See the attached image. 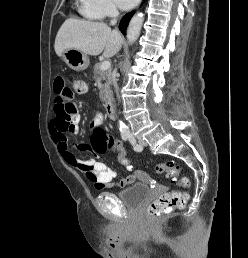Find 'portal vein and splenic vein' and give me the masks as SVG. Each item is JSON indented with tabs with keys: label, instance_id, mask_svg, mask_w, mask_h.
Masks as SVG:
<instances>
[{
	"label": "portal vein and splenic vein",
	"instance_id": "portal-vein-and-splenic-vein-1",
	"mask_svg": "<svg viewBox=\"0 0 248 258\" xmlns=\"http://www.w3.org/2000/svg\"><path fill=\"white\" fill-rule=\"evenodd\" d=\"M110 66H111L110 61L106 60L101 63L100 68L101 70L105 71V70H108Z\"/></svg>",
	"mask_w": 248,
	"mask_h": 258
}]
</instances>
